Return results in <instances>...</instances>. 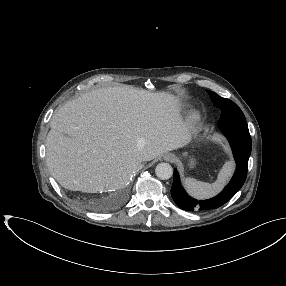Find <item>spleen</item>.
I'll return each mask as SVG.
<instances>
[{
	"mask_svg": "<svg viewBox=\"0 0 286 286\" xmlns=\"http://www.w3.org/2000/svg\"><path fill=\"white\" fill-rule=\"evenodd\" d=\"M234 170L232 161L226 162L220 172L218 173L217 180L210 184L206 182L196 181L193 178H185L184 186L186 190L195 198L205 199L216 195L222 190L224 185L230 179Z\"/></svg>",
	"mask_w": 286,
	"mask_h": 286,
	"instance_id": "obj_1",
	"label": "spleen"
}]
</instances>
